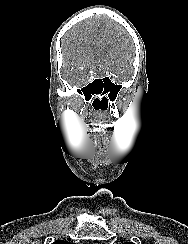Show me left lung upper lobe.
Listing matches in <instances>:
<instances>
[{
  "label": "left lung upper lobe",
  "instance_id": "5c2ea615",
  "mask_svg": "<svg viewBox=\"0 0 188 244\" xmlns=\"http://www.w3.org/2000/svg\"><path fill=\"white\" fill-rule=\"evenodd\" d=\"M123 244H134V243H131V242H125V243H123Z\"/></svg>",
  "mask_w": 188,
  "mask_h": 244
}]
</instances>
